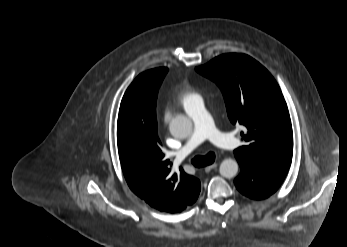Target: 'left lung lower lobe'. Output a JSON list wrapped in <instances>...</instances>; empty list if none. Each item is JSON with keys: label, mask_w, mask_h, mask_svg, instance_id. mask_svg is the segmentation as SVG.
<instances>
[{"label": "left lung lower lobe", "mask_w": 347, "mask_h": 247, "mask_svg": "<svg viewBox=\"0 0 347 247\" xmlns=\"http://www.w3.org/2000/svg\"><path fill=\"white\" fill-rule=\"evenodd\" d=\"M236 159L242 169L234 180L237 189L245 196L257 200L276 192L289 169L286 166H259L246 159Z\"/></svg>", "instance_id": "left-lung-lower-lobe-1"}]
</instances>
